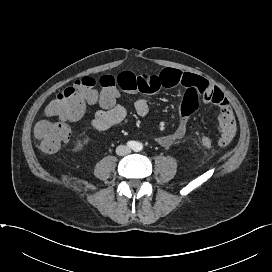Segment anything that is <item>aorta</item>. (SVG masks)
I'll use <instances>...</instances> for the list:
<instances>
[{
	"label": "aorta",
	"instance_id": "1",
	"mask_svg": "<svg viewBox=\"0 0 272 272\" xmlns=\"http://www.w3.org/2000/svg\"><path fill=\"white\" fill-rule=\"evenodd\" d=\"M142 149V144H139V150H141Z\"/></svg>",
	"mask_w": 272,
	"mask_h": 272
}]
</instances>
